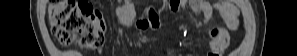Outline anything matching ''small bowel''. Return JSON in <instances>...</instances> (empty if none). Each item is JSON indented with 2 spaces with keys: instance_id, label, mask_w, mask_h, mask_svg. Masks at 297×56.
<instances>
[{
  "instance_id": "small-bowel-1",
  "label": "small bowel",
  "mask_w": 297,
  "mask_h": 56,
  "mask_svg": "<svg viewBox=\"0 0 297 56\" xmlns=\"http://www.w3.org/2000/svg\"><path fill=\"white\" fill-rule=\"evenodd\" d=\"M190 6L196 15L202 18L196 22L200 27L210 21L214 11L219 12L222 23L230 30H235L238 25L237 13L230 4L213 5L205 0H191ZM186 5V0H171L170 9L177 11ZM116 15L120 23L124 26H131L135 20V8L131 0H125L116 8ZM159 26V20L154 10L149 9L145 16L138 20L137 27L140 30L155 28ZM211 38L208 43L210 46L209 56H219L227 48L230 42V34L225 27H216L210 31Z\"/></svg>"
}]
</instances>
